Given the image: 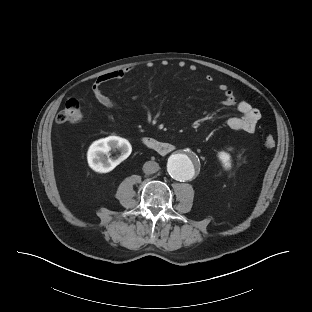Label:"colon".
Here are the masks:
<instances>
[{
	"label": "colon",
	"instance_id": "1",
	"mask_svg": "<svg viewBox=\"0 0 312 312\" xmlns=\"http://www.w3.org/2000/svg\"><path fill=\"white\" fill-rule=\"evenodd\" d=\"M82 119L81 105L77 99H70L65 103L64 108L58 113L56 120L58 123H79ZM276 144L275 138L272 135H266L264 138V146L273 148Z\"/></svg>",
	"mask_w": 312,
	"mask_h": 312
}]
</instances>
